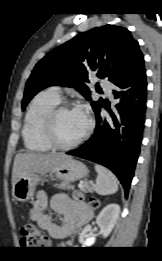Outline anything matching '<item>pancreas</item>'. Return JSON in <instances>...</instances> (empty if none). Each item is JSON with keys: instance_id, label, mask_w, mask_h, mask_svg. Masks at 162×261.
Masks as SVG:
<instances>
[{"instance_id": "pancreas-1", "label": "pancreas", "mask_w": 162, "mask_h": 261, "mask_svg": "<svg viewBox=\"0 0 162 261\" xmlns=\"http://www.w3.org/2000/svg\"><path fill=\"white\" fill-rule=\"evenodd\" d=\"M55 187L59 188V189H64V190H70V189H74V186L70 185L68 182H63L60 185L56 184ZM80 190L84 193L86 192H92V188L90 186V183L87 181L83 182V186L80 188Z\"/></svg>"}]
</instances>
